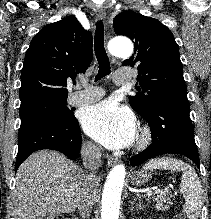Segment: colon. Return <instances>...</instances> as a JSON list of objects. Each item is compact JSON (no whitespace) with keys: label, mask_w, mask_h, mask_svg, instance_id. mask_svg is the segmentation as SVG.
<instances>
[{"label":"colon","mask_w":211,"mask_h":219,"mask_svg":"<svg viewBox=\"0 0 211 219\" xmlns=\"http://www.w3.org/2000/svg\"><path fill=\"white\" fill-rule=\"evenodd\" d=\"M42 219H65V218L63 216H51V217H45ZM173 219H185V218L181 215H177Z\"/></svg>","instance_id":"5ec220e1"}]
</instances>
